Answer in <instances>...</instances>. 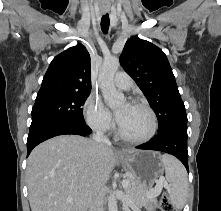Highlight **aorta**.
<instances>
[{
  "instance_id": "1",
  "label": "aorta",
  "mask_w": 221,
  "mask_h": 211,
  "mask_svg": "<svg viewBox=\"0 0 221 211\" xmlns=\"http://www.w3.org/2000/svg\"><path fill=\"white\" fill-rule=\"evenodd\" d=\"M120 66L119 59L111 57L105 59L99 73V86L105 103L109 107H116L125 101L124 94L117 91L114 85V75ZM108 210L117 211V200L114 193L108 197Z\"/></svg>"
}]
</instances>
